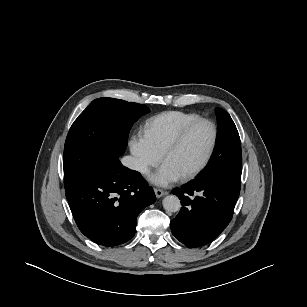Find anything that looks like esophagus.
<instances>
[{
    "instance_id": "obj_1",
    "label": "esophagus",
    "mask_w": 307,
    "mask_h": 307,
    "mask_svg": "<svg viewBox=\"0 0 307 307\" xmlns=\"http://www.w3.org/2000/svg\"><path fill=\"white\" fill-rule=\"evenodd\" d=\"M154 193L156 195L157 198L162 197L163 195H165V192L159 188H154Z\"/></svg>"
}]
</instances>
